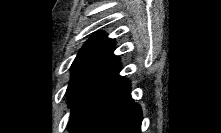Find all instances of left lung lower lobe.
I'll use <instances>...</instances> for the list:
<instances>
[{
    "mask_svg": "<svg viewBox=\"0 0 221 133\" xmlns=\"http://www.w3.org/2000/svg\"><path fill=\"white\" fill-rule=\"evenodd\" d=\"M119 71L118 62L79 94L71 105V133H140L142 111Z\"/></svg>",
    "mask_w": 221,
    "mask_h": 133,
    "instance_id": "left-lung-lower-lobe-1",
    "label": "left lung lower lobe"
}]
</instances>
